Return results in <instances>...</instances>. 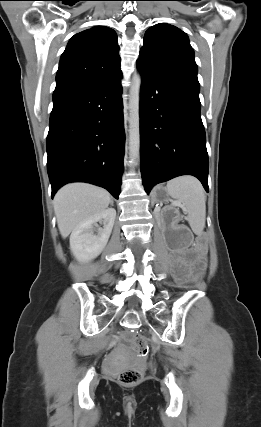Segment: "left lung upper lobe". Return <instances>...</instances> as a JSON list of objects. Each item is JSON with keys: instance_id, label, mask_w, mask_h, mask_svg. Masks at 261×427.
Listing matches in <instances>:
<instances>
[{"instance_id": "1", "label": "left lung upper lobe", "mask_w": 261, "mask_h": 427, "mask_svg": "<svg viewBox=\"0 0 261 427\" xmlns=\"http://www.w3.org/2000/svg\"><path fill=\"white\" fill-rule=\"evenodd\" d=\"M139 59L197 78L194 51L188 36L170 24H157L146 31Z\"/></svg>"}]
</instances>
